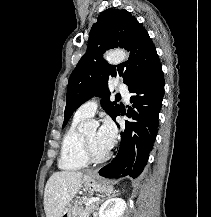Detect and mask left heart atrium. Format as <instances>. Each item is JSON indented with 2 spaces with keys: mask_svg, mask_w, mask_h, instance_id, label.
I'll list each match as a JSON object with an SVG mask.
<instances>
[{
  "mask_svg": "<svg viewBox=\"0 0 211 217\" xmlns=\"http://www.w3.org/2000/svg\"><path fill=\"white\" fill-rule=\"evenodd\" d=\"M116 139V129L110 120H105L97 131L98 143L109 150L113 147Z\"/></svg>",
  "mask_w": 211,
  "mask_h": 217,
  "instance_id": "1",
  "label": "left heart atrium"
}]
</instances>
